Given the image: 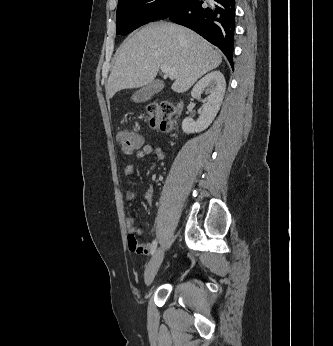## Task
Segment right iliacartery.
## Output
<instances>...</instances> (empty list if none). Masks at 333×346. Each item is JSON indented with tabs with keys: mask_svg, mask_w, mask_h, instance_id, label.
Returning <instances> with one entry per match:
<instances>
[{
	"mask_svg": "<svg viewBox=\"0 0 333 346\" xmlns=\"http://www.w3.org/2000/svg\"><path fill=\"white\" fill-rule=\"evenodd\" d=\"M156 248H157V241L154 240V241L152 242V245H151V251H150L151 255L154 254V252L156 251Z\"/></svg>",
	"mask_w": 333,
	"mask_h": 346,
	"instance_id": "82829eb1",
	"label": "right iliac artery"
}]
</instances>
